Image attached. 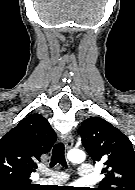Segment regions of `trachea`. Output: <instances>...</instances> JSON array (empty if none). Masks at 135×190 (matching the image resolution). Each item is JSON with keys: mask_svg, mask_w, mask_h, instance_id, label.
Instances as JSON below:
<instances>
[{"mask_svg": "<svg viewBox=\"0 0 135 190\" xmlns=\"http://www.w3.org/2000/svg\"><path fill=\"white\" fill-rule=\"evenodd\" d=\"M57 163L61 164L63 167H67V163L65 160L64 155V144L63 143H57L52 150V157L50 166L53 167Z\"/></svg>", "mask_w": 135, "mask_h": 190, "instance_id": "obj_1", "label": "trachea"}]
</instances>
